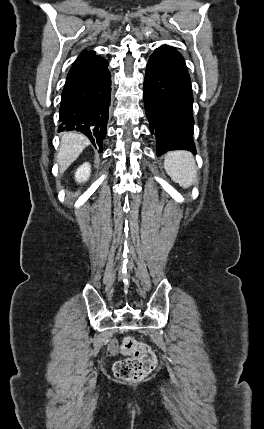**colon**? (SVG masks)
<instances>
[{
	"mask_svg": "<svg viewBox=\"0 0 264 429\" xmlns=\"http://www.w3.org/2000/svg\"><path fill=\"white\" fill-rule=\"evenodd\" d=\"M120 351L128 356L114 365V375L123 381H138L147 376L157 365V358L151 348L136 341L133 337H125Z\"/></svg>",
	"mask_w": 264,
	"mask_h": 429,
	"instance_id": "colon-1",
	"label": "colon"
}]
</instances>
